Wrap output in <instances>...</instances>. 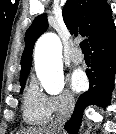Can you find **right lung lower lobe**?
Masks as SVG:
<instances>
[{
	"instance_id": "98d812e1",
	"label": "right lung lower lobe",
	"mask_w": 116,
	"mask_h": 134,
	"mask_svg": "<svg viewBox=\"0 0 116 134\" xmlns=\"http://www.w3.org/2000/svg\"><path fill=\"white\" fill-rule=\"evenodd\" d=\"M91 69L87 70L89 90L80 95L75 110L64 128L69 134L77 133L83 111L88 105L105 108L110 104L116 72V30L91 45Z\"/></svg>"
}]
</instances>
